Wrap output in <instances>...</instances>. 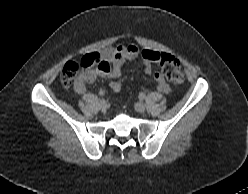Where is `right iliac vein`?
<instances>
[{
  "instance_id": "63e3f726",
  "label": "right iliac vein",
  "mask_w": 248,
  "mask_h": 194,
  "mask_svg": "<svg viewBox=\"0 0 248 194\" xmlns=\"http://www.w3.org/2000/svg\"><path fill=\"white\" fill-rule=\"evenodd\" d=\"M99 107L102 111H106L107 109V103L105 102V100L99 102Z\"/></svg>"
}]
</instances>
